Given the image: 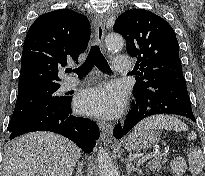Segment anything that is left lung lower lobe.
<instances>
[{"instance_id": "left-lung-lower-lobe-1", "label": "left lung lower lobe", "mask_w": 205, "mask_h": 176, "mask_svg": "<svg viewBox=\"0 0 205 176\" xmlns=\"http://www.w3.org/2000/svg\"><path fill=\"white\" fill-rule=\"evenodd\" d=\"M133 96L135 101L125 122L114 128L113 134L117 139L127 134L143 119L154 115L175 114L196 122L184 77L161 78L148 89L133 93Z\"/></svg>"}]
</instances>
